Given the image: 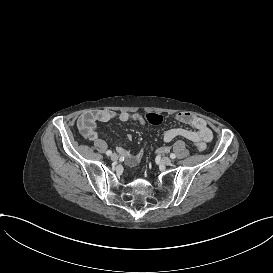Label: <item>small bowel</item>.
Segmentation results:
<instances>
[{
    "label": "small bowel",
    "mask_w": 273,
    "mask_h": 273,
    "mask_svg": "<svg viewBox=\"0 0 273 273\" xmlns=\"http://www.w3.org/2000/svg\"><path fill=\"white\" fill-rule=\"evenodd\" d=\"M85 115L80 116L76 120L75 138L77 140H83L85 144H92L93 142L98 144V152L100 154H107L109 152V145L103 143L96 129L97 122H108L112 120H119L121 122L135 121L141 125L145 124V118L140 113H130L126 111L116 112L113 110H98L83 113ZM95 129L91 127L94 124ZM176 120L190 125L192 128L174 127L167 129L162 136L164 142H171L176 138H185L191 141L200 151L204 150L206 144L213 139V132L209 128L207 122L196 115L183 112L176 115ZM131 139V136H129ZM121 150L123 160L125 164L131 168L135 166V154L124 151L122 145H118Z\"/></svg>",
    "instance_id": "1"
}]
</instances>
